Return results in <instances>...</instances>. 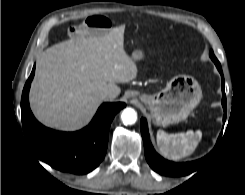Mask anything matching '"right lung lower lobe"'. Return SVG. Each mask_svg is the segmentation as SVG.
Segmentation results:
<instances>
[{
  "instance_id": "obj_1",
  "label": "right lung lower lobe",
  "mask_w": 245,
  "mask_h": 195,
  "mask_svg": "<svg viewBox=\"0 0 245 195\" xmlns=\"http://www.w3.org/2000/svg\"><path fill=\"white\" fill-rule=\"evenodd\" d=\"M35 66L26 81L21 99L22 125L26 140L37 158L62 172L86 174L103 160L108 144V133L114 116L124 103L102 104L91 123L84 129L67 133L41 125L29 107V89Z\"/></svg>"
}]
</instances>
